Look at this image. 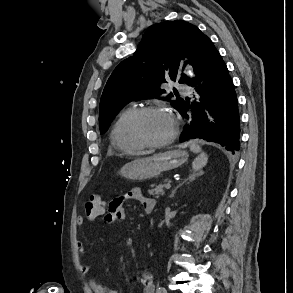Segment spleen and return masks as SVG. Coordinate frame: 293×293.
<instances>
[{"instance_id":"3e777b00","label":"spleen","mask_w":293,"mask_h":293,"mask_svg":"<svg viewBox=\"0 0 293 293\" xmlns=\"http://www.w3.org/2000/svg\"><path fill=\"white\" fill-rule=\"evenodd\" d=\"M190 150L194 153H200L193 161L192 168L194 171L202 169L208 161V156L202 152L201 147L196 141L190 142Z\"/></svg>"}]
</instances>
